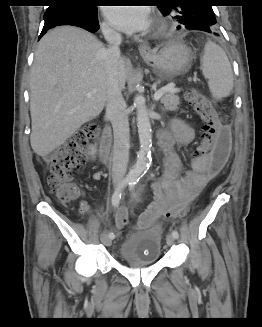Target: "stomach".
I'll return each mask as SVG.
<instances>
[{"label": "stomach", "mask_w": 262, "mask_h": 327, "mask_svg": "<svg viewBox=\"0 0 262 327\" xmlns=\"http://www.w3.org/2000/svg\"><path fill=\"white\" fill-rule=\"evenodd\" d=\"M161 78H169L185 73L192 60L191 50L183 43L171 42L151 55H142Z\"/></svg>", "instance_id": "1"}]
</instances>
